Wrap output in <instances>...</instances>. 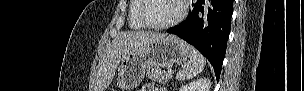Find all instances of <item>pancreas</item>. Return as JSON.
I'll use <instances>...</instances> for the list:
<instances>
[{
  "label": "pancreas",
  "instance_id": "cf45deb5",
  "mask_svg": "<svg viewBox=\"0 0 304 91\" xmlns=\"http://www.w3.org/2000/svg\"><path fill=\"white\" fill-rule=\"evenodd\" d=\"M148 74L150 79L163 84L167 83L168 80L172 77V75H170L166 71L152 67L148 69Z\"/></svg>",
  "mask_w": 304,
  "mask_h": 91
}]
</instances>
